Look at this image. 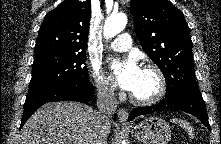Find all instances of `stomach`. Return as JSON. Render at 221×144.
I'll use <instances>...</instances> for the list:
<instances>
[{
	"mask_svg": "<svg viewBox=\"0 0 221 144\" xmlns=\"http://www.w3.org/2000/svg\"><path fill=\"white\" fill-rule=\"evenodd\" d=\"M128 128L131 135L144 144H167L171 138L170 125L157 116L148 117Z\"/></svg>",
	"mask_w": 221,
	"mask_h": 144,
	"instance_id": "stomach-1",
	"label": "stomach"
}]
</instances>
